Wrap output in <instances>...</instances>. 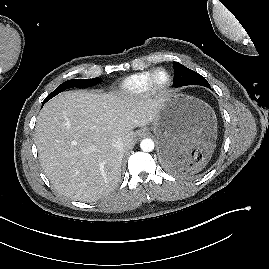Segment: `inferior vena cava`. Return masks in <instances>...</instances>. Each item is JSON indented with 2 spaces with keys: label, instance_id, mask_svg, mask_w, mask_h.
I'll return each mask as SVG.
<instances>
[{
  "label": "inferior vena cava",
  "instance_id": "inferior-vena-cava-1",
  "mask_svg": "<svg viewBox=\"0 0 269 269\" xmlns=\"http://www.w3.org/2000/svg\"><path fill=\"white\" fill-rule=\"evenodd\" d=\"M112 146H113V148H115L117 150H123L124 143L121 139H116L112 142Z\"/></svg>",
  "mask_w": 269,
  "mask_h": 269
}]
</instances>
